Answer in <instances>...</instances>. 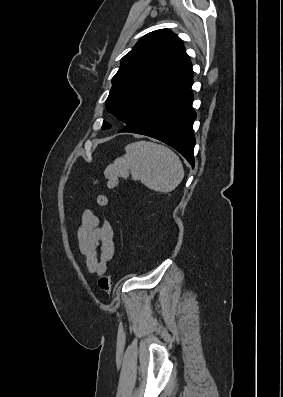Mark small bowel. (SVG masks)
I'll return each instance as SVG.
<instances>
[{
  "mask_svg": "<svg viewBox=\"0 0 283 397\" xmlns=\"http://www.w3.org/2000/svg\"><path fill=\"white\" fill-rule=\"evenodd\" d=\"M79 250L90 273L103 275L115 253V232L103 216L87 209L77 230Z\"/></svg>",
  "mask_w": 283,
  "mask_h": 397,
  "instance_id": "c3829d8e",
  "label": "small bowel"
}]
</instances>
